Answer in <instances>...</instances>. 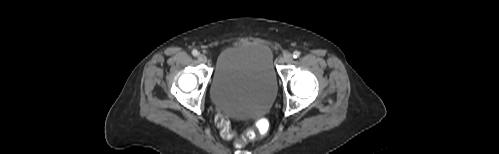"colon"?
Returning a JSON list of instances; mask_svg holds the SVG:
<instances>
[{"instance_id":"1","label":"colon","mask_w":499,"mask_h":154,"mask_svg":"<svg viewBox=\"0 0 499 154\" xmlns=\"http://www.w3.org/2000/svg\"><path fill=\"white\" fill-rule=\"evenodd\" d=\"M215 124L220 128L221 135L227 140H234L237 147H243L248 140L256 137V133L247 131L243 133H236L232 130L229 119L222 114H217L214 118ZM257 133L264 135L268 131V124L261 122L257 125Z\"/></svg>"}]
</instances>
